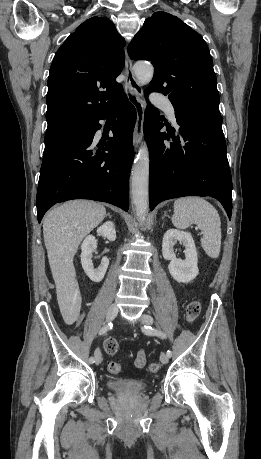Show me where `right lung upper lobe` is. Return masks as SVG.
Masks as SVG:
<instances>
[{
	"label": "right lung upper lobe",
	"mask_w": 261,
	"mask_h": 459,
	"mask_svg": "<svg viewBox=\"0 0 261 459\" xmlns=\"http://www.w3.org/2000/svg\"><path fill=\"white\" fill-rule=\"evenodd\" d=\"M124 39L107 18L81 24L58 49L50 67L48 126L67 120L92 121L120 100Z\"/></svg>",
	"instance_id": "right-lung-upper-lobe-1"
}]
</instances>
